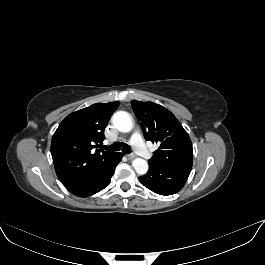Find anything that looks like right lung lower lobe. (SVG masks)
<instances>
[{"label": "right lung lower lobe", "mask_w": 265, "mask_h": 265, "mask_svg": "<svg viewBox=\"0 0 265 265\" xmlns=\"http://www.w3.org/2000/svg\"><path fill=\"white\" fill-rule=\"evenodd\" d=\"M122 156V153H116L88 174L65 187L69 192L79 197H87L101 191L110 184L115 167L122 160Z\"/></svg>", "instance_id": "1"}]
</instances>
